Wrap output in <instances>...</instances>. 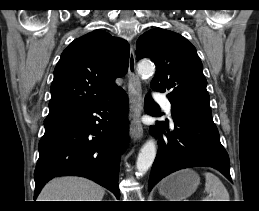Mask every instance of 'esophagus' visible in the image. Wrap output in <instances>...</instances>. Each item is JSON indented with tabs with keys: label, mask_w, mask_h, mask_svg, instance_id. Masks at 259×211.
Segmentation results:
<instances>
[{
	"label": "esophagus",
	"mask_w": 259,
	"mask_h": 211,
	"mask_svg": "<svg viewBox=\"0 0 259 211\" xmlns=\"http://www.w3.org/2000/svg\"><path fill=\"white\" fill-rule=\"evenodd\" d=\"M129 99L132 113L130 126V136L134 141H138L143 136V126L141 123L142 96L141 83L136 72V60L134 47L130 45L129 65H128Z\"/></svg>",
	"instance_id": "obj_1"
}]
</instances>
